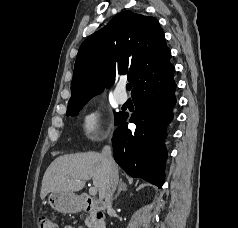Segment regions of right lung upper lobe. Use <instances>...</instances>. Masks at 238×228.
Here are the masks:
<instances>
[{
	"instance_id": "obj_1",
	"label": "right lung upper lobe",
	"mask_w": 238,
	"mask_h": 228,
	"mask_svg": "<svg viewBox=\"0 0 238 228\" xmlns=\"http://www.w3.org/2000/svg\"><path fill=\"white\" fill-rule=\"evenodd\" d=\"M170 56L155 18L123 11L81 44L69 104H86L125 74L133 84V95L141 87L174 73Z\"/></svg>"
}]
</instances>
